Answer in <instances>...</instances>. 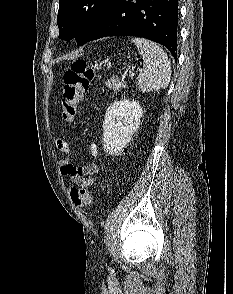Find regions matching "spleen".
I'll return each instance as SVG.
<instances>
[{"label":"spleen","instance_id":"3e777b00","mask_svg":"<svg viewBox=\"0 0 233 294\" xmlns=\"http://www.w3.org/2000/svg\"><path fill=\"white\" fill-rule=\"evenodd\" d=\"M131 42L137 46L144 66L137 77L138 88L143 93L166 88L170 82L171 64L164 50L144 38L136 37Z\"/></svg>","mask_w":233,"mask_h":294}]
</instances>
